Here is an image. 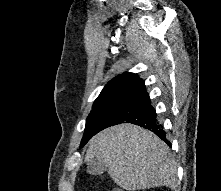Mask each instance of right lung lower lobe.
Masks as SVG:
<instances>
[{"label":"right lung lower lobe","mask_w":221,"mask_h":191,"mask_svg":"<svg viewBox=\"0 0 221 191\" xmlns=\"http://www.w3.org/2000/svg\"><path fill=\"white\" fill-rule=\"evenodd\" d=\"M119 123H133L149 129L170 145L163 128L157 121L156 111L151 105L144 83L128 92L113 105L103 120L100 131Z\"/></svg>","instance_id":"1"}]
</instances>
